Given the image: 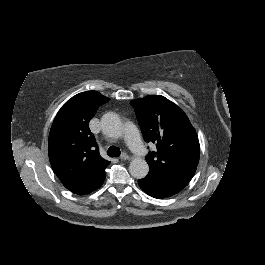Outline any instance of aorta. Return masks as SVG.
<instances>
[{
  "instance_id": "aorta-1",
  "label": "aorta",
  "mask_w": 265,
  "mask_h": 265,
  "mask_svg": "<svg viewBox=\"0 0 265 265\" xmlns=\"http://www.w3.org/2000/svg\"><path fill=\"white\" fill-rule=\"evenodd\" d=\"M101 126L105 135L110 137H119L121 133V120L118 114L106 112L101 118ZM129 172L136 179H143L149 172V166L143 159H135L129 166Z\"/></svg>"
}]
</instances>
